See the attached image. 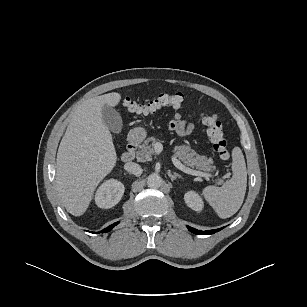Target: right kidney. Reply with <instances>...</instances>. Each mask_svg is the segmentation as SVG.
Instances as JSON below:
<instances>
[{
  "instance_id": "ca27d5eb",
  "label": "right kidney",
  "mask_w": 307,
  "mask_h": 307,
  "mask_svg": "<svg viewBox=\"0 0 307 307\" xmlns=\"http://www.w3.org/2000/svg\"><path fill=\"white\" fill-rule=\"evenodd\" d=\"M125 191L124 184L116 179L106 180L95 194V203L98 207L108 209L121 200Z\"/></svg>"
}]
</instances>
